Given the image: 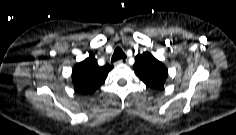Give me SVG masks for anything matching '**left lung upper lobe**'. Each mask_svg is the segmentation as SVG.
<instances>
[{
	"instance_id": "left-lung-upper-lobe-1",
	"label": "left lung upper lobe",
	"mask_w": 236,
	"mask_h": 135,
	"mask_svg": "<svg viewBox=\"0 0 236 135\" xmlns=\"http://www.w3.org/2000/svg\"><path fill=\"white\" fill-rule=\"evenodd\" d=\"M139 78L149 87L162 89L168 76L165 65L152 54L144 52L135 57L133 66Z\"/></svg>"
}]
</instances>
